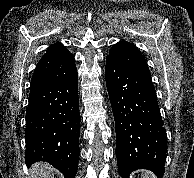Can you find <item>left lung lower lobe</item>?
Masks as SVG:
<instances>
[{
  "instance_id": "1",
  "label": "left lung lower lobe",
  "mask_w": 194,
  "mask_h": 178,
  "mask_svg": "<svg viewBox=\"0 0 194 178\" xmlns=\"http://www.w3.org/2000/svg\"><path fill=\"white\" fill-rule=\"evenodd\" d=\"M106 85L116 126V157L120 175L148 169L164 174L167 137L151 76L107 58Z\"/></svg>"
}]
</instances>
